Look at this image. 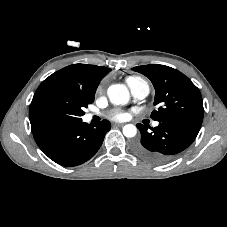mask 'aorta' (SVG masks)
<instances>
[{
	"instance_id": "obj_1",
	"label": "aorta",
	"mask_w": 227,
	"mask_h": 227,
	"mask_svg": "<svg viewBox=\"0 0 227 227\" xmlns=\"http://www.w3.org/2000/svg\"><path fill=\"white\" fill-rule=\"evenodd\" d=\"M107 94L110 102L115 105L127 104L130 99L128 89L122 84L111 85L107 90ZM136 133L137 128L133 124H127L123 127V134L125 137L132 138Z\"/></svg>"
}]
</instances>
